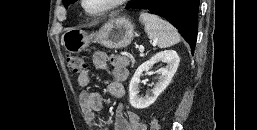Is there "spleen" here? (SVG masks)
I'll return each instance as SVG.
<instances>
[{
  "instance_id": "obj_1",
  "label": "spleen",
  "mask_w": 257,
  "mask_h": 130,
  "mask_svg": "<svg viewBox=\"0 0 257 130\" xmlns=\"http://www.w3.org/2000/svg\"><path fill=\"white\" fill-rule=\"evenodd\" d=\"M140 21L144 24L148 37L159 48H168L180 42V35L176 28L159 16L142 12L140 14Z\"/></svg>"
}]
</instances>
